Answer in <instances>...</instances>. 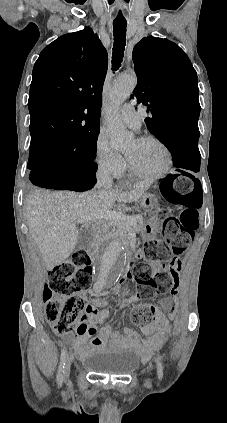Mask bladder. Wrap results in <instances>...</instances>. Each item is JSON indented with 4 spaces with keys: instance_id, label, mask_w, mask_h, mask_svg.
I'll return each instance as SVG.
<instances>
[{
    "instance_id": "bladder-1",
    "label": "bladder",
    "mask_w": 227,
    "mask_h": 423,
    "mask_svg": "<svg viewBox=\"0 0 227 423\" xmlns=\"http://www.w3.org/2000/svg\"><path fill=\"white\" fill-rule=\"evenodd\" d=\"M83 362L92 373L125 376L136 369L138 358L130 350L117 353L107 350L87 357Z\"/></svg>"
}]
</instances>
